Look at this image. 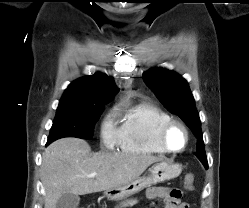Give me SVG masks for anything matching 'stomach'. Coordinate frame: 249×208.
Masks as SVG:
<instances>
[{"instance_id": "obj_1", "label": "stomach", "mask_w": 249, "mask_h": 208, "mask_svg": "<svg viewBox=\"0 0 249 208\" xmlns=\"http://www.w3.org/2000/svg\"><path fill=\"white\" fill-rule=\"evenodd\" d=\"M181 171L182 167L178 163L160 161L149 168L148 174L139 177L126 185L109 189L105 191L104 194L110 200H119L139 193L151 185L174 179L180 175Z\"/></svg>"}]
</instances>
